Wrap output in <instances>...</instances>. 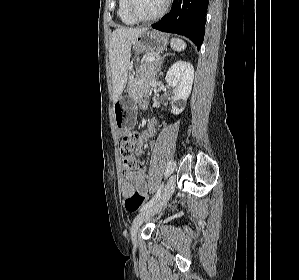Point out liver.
<instances>
[{
	"label": "liver",
	"mask_w": 299,
	"mask_h": 280,
	"mask_svg": "<svg viewBox=\"0 0 299 280\" xmlns=\"http://www.w3.org/2000/svg\"><path fill=\"white\" fill-rule=\"evenodd\" d=\"M147 28H118L110 37L109 59L112 72L113 102L121 96L126 83L130 66L131 46L134 40Z\"/></svg>",
	"instance_id": "liver-1"
}]
</instances>
